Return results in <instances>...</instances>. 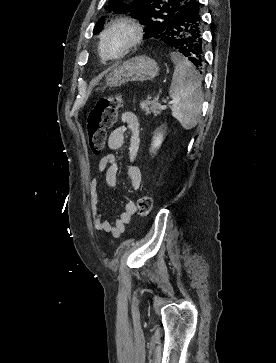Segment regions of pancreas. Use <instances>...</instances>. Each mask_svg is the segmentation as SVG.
<instances>
[{"instance_id": "cf45deb5", "label": "pancreas", "mask_w": 276, "mask_h": 363, "mask_svg": "<svg viewBox=\"0 0 276 363\" xmlns=\"http://www.w3.org/2000/svg\"><path fill=\"white\" fill-rule=\"evenodd\" d=\"M140 107L146 115L153 113L154 116H157L161 114V105L156 101H150L147 99L146 101L140 102Z\"/></svg>"}]
</instances>
